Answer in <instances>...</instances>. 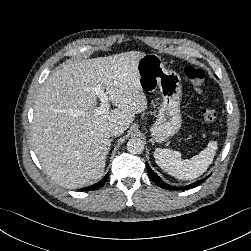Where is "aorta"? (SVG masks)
<instances>
[{"instance_id": "1", "label": "aorta", "mask_w": 251, "mask_h": 251, "mask_svg": "<svg viewBox=\"0 0 251 251\" xmlns=\"http://www.w3.org/2000/svg\"><path fill=\"white\" fill-rule=\"evenodd\" d=\"M127 150L132 154H141L144 150V143L139 138H131L127 142Z\"/></svg>"}]
</instances>
